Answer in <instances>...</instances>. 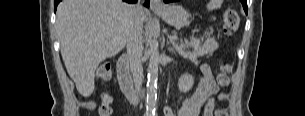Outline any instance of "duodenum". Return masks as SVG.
Segmentation results:
<instances>
[{
	"label": "duodenum",
	"mask_w": 305,
	"mask_h": 116,
	"mask_svg": "<svg viewBox=\"0 0 305 116\" xmlns=\"http://www.w3.org/2000/svg\"><path fill=\"white\" fill-rule=\"evenodd\" d=\"M117 79L122 93L132 104L143 101V97L136 92L133 81L129 75L128 58L126 56H121L118 59Z\"/></svg>",
	"instance_id": "410a0bca"
}]
</instances>
